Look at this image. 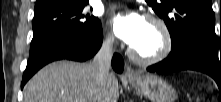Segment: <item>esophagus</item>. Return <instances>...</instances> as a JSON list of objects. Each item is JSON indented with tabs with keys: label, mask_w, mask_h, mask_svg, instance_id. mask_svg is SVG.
Here are the masks:
<instances>
[{
	"label": "esophagus",
	"mask_w": 221,
	"mask_h": 102,
	"mask_svg": "<svg viewBox=\"0 0 221 102\" xmlns=\"http://www.w3.org/2000/svg\"><path fill=\"white\" fill-rule=\"evenodd\" d=\"M125 77L128 79H133L137 77V73L134 69L131 67L127 66L125 70Z\"/></svg>",
	"instance_id": "34e87169"
}]
</instances>
